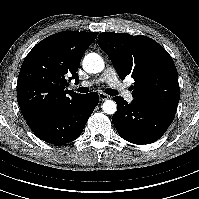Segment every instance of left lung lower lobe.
Instances as JSON below:
<instances>
[{
	"mask_svg": "<svg viewBox=\"0 0 199 199\" xmlns=\"http://www.w3.org/2000/svg\"><path fill=\"white\" fill-rule=\"evenodd\" d=\"M117 111L112 116L119 135L134 144H150L158 140L174 120L175 113L133 99L128 104L122 97H114Z\"/></svg>",
	"mask_w": 199,
	"mask_h": 199,
	"instance_id": "left-lung-lower-lobe-1",
	"label": "left lung lower lobe"
}]
</instances>
